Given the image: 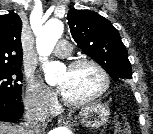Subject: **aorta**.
I'll return each instance as SVG.
<instances>
[{"mask_svg":"<svg viewBox=\"0 0 153 134\" xmlns=\"http://www.w3.org/2000/svg\"><path fill=\"white\" fill-rule=\"evenodd\" d=\"M62 33L63 24L58 19L49 20L37 32L36 48L40 58L45 62L43 71L48 84H54L57 81V73L60 70V65L56 62H47V56L53 51Z\"/></svg>","mask_w":153,"mask_h":134,"instance_id":"762f6f07","label":"aorta"}]
</instances>
